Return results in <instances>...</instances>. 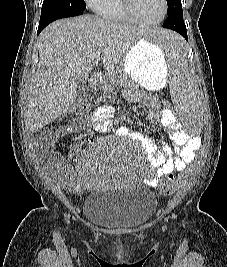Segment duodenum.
<instances>
[{
    "instance_id": "duodenum-1",
    "label": "duodenum",
    "mask_w": 227,
    "mask_h": 267,
    "mask_svg": "<svg viewBox=\"0 0 227 267\" xmlns=\"http://www.w3.org/2000/svg\"><path fill=\"white\" fill-rule=\"evenodd\" d=\"M103 80V76L100 74H93L91 78V86L92 88L97 87Z\"/></svg>"
}]
</instances>
